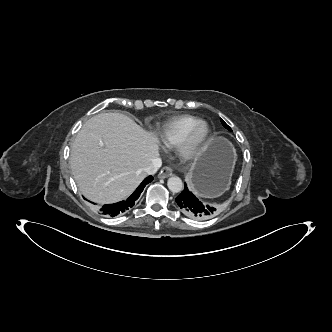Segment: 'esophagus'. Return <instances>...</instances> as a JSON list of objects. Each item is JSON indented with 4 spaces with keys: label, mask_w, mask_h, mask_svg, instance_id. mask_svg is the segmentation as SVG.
Here are the masks:
<instances>
[{
    "label": "esophagus",
    "mask_w": 332,
    "mask_h": 332,
    "mask_svg": "<svg viewBox=\"0 0 332 332\" xmlns=\"http://www.w3.org/2000/svg\"><path fill=\"white\" fill-rule=\"evenodd\" d=\"M172 173H173L172 169L169 166H165L159 172L158 178H167V177L171 176Z\"/></svg>",
    "instance_id": "obj_1"
}]
</instances>
